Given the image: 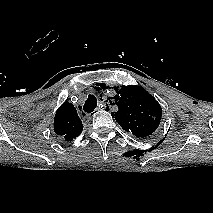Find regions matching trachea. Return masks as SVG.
<instances>
[{
	"mask_svg": "<svg viewBox=\"0 0 213 213\" xmlns=\"http://www.w3.org/2000/svg\"><path fill=\"white\" fill-rule=\"evenodd\" d=\"M96 106H97V99L95 98L94 95H89L88 99L84 104V111L87 113H91L94 111Z\"/></svg>",
	"mask_w": 213,
	"mask_h": 213,
	"instance_id": "trachea-1",
	"label": "trachea"
}]
</instances>
